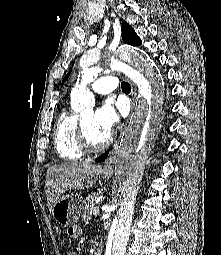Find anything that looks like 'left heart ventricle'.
Wrapping results in <instances>:
<instances>
[{"label": "left heart ventricle", "mask_w": 221, "mask_h": 255, "mask_svg": "<svg viewBox=\"0 0 221 255\" xmlns=\"http://www.w3.org/2000/svg\"><path fill=\"white\" fill-rule=\"evenodd\" d=\"M82 122H83L85 132H86L89 140L93 144L99 145L102 142H104L106 140V138L108 137V135L106 133L101 131L96 126L95 121H94V113L93 112H89L88 114H86L83 117Z\"/></svg>", "instance_id": "left-heart-ventricle-1"}]
</instances>
